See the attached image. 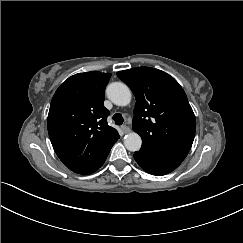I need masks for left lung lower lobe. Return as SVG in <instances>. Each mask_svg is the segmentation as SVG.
I'll return each instance as SVG.
<instances>
[{"instance_id":"obj_1","label":"left lung lower lobe","mask_w":243,"mask_h":243,"mask_svg":"<svg viewBox=\"0 0 243 243\" xmlns=\"http://www.w3.org/2000/svg\"><path fill=\"white\" fill-rule=\"evenodd\" d=\"M134 158L142 169L156 176L166 175L181 164L180 161L163 158L143 149L135 152Z\"/></svg>"}]
</instances>
